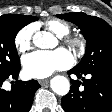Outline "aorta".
Wrapping results in <instances>:
<instances>
[{"label": "aorta", "mask_w": 112, "mask_h": 112, "mask_svg": "<svg viewBox=\"0 0 112 112\" xmlns=\"http://www.w3.org/2000/svg\"><path fill=\"white\" fill-rule=\"evenodd\" d=\"M55 37L49 32H36L33 36V43L36 47L41 49L53 48ZM50 87L54 93L64 96L69 92L70 82L61 75L54 76L50 81Z\"/></svg>", "instance_id": "762f6f07"}]
</instances>
